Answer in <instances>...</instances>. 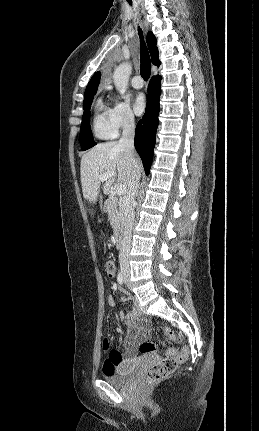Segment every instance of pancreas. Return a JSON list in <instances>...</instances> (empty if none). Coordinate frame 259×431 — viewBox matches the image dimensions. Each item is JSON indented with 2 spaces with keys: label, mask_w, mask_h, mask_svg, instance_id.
<instances>
[{
  "label": "pancreas",
  "mask_w": 259,
  "mask_h": 431,
  "mask_svg": "<svg viewBox=\"0 0 259 431\" xmlns=\"http://www.w3.org/2000/svg\"><path fill=\"white\" fill-rule=\"evenodd\" d=\"M108 219L114 230V235L117 236L122 230L124 224V200L121 198H112L108 205Z\"/></svg>",
  "instance_id": "pancreas-1"
}]
</instances>
